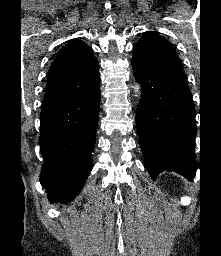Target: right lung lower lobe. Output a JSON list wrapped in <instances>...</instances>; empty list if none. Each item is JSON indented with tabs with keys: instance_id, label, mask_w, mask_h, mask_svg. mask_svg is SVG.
<instances>
[{
	"instance_id": "obj_1",
	"label": "right lung lower lobe",
	"mask_w": 221,
	"mask_h": 256,
	"mask_svg": "<svg viewBox=\"0 0 221 256\" xmlns=\"http://www.w3.org/2000/svg\"><path fill=\"white\" fill-rule=\"evenodd\" d=\"M99 102L100 87L41 111L39 143L44 163L40 182L52 203L71 202L92 169Z\"/></svg>"
}]
</instances>
